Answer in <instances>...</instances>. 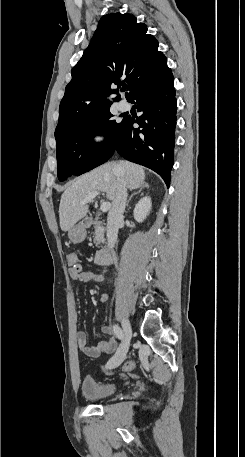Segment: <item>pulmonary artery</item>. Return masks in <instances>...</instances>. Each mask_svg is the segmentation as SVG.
<instances>
[{"instance_id":"e3ab8cb5","label":"pulmonary artery","mask_w":245,"mask_h":457,"mask_svg":"<svg viewBox=\"0 0 245 457\" xmlns=\"http://www.w3.org/2000/svg\"><path fill=\"white\" fill-rule=\"evenodd\" d=\"M117 107L121 112H126V111L130 110L131 106L126 100H122L118 103Z\"/></svg>"}]
</instances>
